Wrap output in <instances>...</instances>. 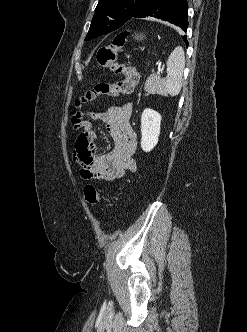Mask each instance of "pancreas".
I'll use <instances>...</instances> for the list:
<instances>
[{
  "mask_svg": "<svg viewBox=\"0 0 247 332\" xmlns=\"http://www.w3.org/2000/svg\"><path fill=\"white\" fill-rule=\"evenodd\" d=\"M161 84H162V79L159 76H157L156 74H151L148 77V79L145 83V86H144V89H145L147 95L157 93Z\"/></svg>",
  "mask_w": 247,
  "mask_h": 332,
  "instance_id": "cf45deb5",
  "label": "pancreas"
}]
</instances>
